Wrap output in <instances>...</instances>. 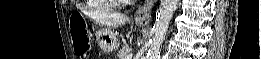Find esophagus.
Instances as JSON below:
<instances>
[{
  "instance_id": "1",
  "label": "esophagus",
  "mask_w": 261,
  "mask_h": 59,
  "mask_svg": "<svg viewBox=\"0 0 261 59\" xmlns=\"http://www.w3.org/2000/svg\"><path fill=\"white\" fill-rule=\"evenodd\" d=\"M155 3V0H147L145 3L136 11L134 19L139 25L146 26L150 22L151 15L150 10Z\"/></svg>"
}]
</instances>
